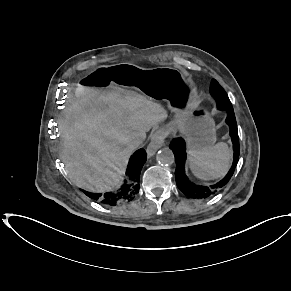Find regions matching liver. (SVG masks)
Instances as JSON below:
<instances>
[{"label": "liver", "mask_w": 291, "mask_h": 291, "mask_svg": "<svg viewBox=\"0 0 291 291\" xmlns=\"http://www.w3.org/2000/svg\"><path fill=\"white\" fill-rule=\"evenodd\" d=\"M166 110L135 91L80 85L59 123L62 160L73 182L91 192L118 187L134 149L129 140L164 121Z\"/></svg>", "instance_id": "6515ba94"}]
</instances>
